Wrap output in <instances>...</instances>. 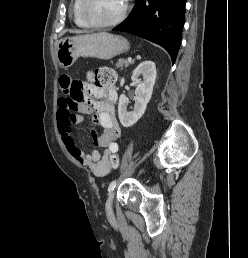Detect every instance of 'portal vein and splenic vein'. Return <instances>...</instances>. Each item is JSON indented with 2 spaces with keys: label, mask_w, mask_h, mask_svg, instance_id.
I'll list each match as a JSON object with an SVG mask.
<instances>
[{
  "label": "portal vein and splenic vein",
  "mask_w": 248,
  "mask_h": 258,
  "mask_svg": "<svg viewBox=\"0 0 248 258\" xmlns=\"http://www.w3.org/2000/svg\"><path fill=\"white\" fill-rule=\"evenodd\" d=\"M128 61H130V62H131V61H132V58H131V57H128Z\"/></svg>",
  "instance_id": "obj_1"
}]
</instances>
